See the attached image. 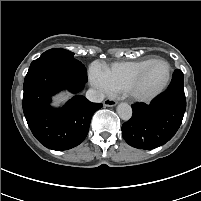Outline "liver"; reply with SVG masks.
<instances>
[{"instance_id":"1","label":"liver","mask_w":201,"mask_h":201,"mask_svg":"<svg viewBox=\"0 0 201 201\" xmlns=\"http://www.w3.org/2000/svg\"><path fill=\"white\" fill-rule=\"evenodd\" d=\"M56 102L59 103V102H64L67 100V96H64V95H59L58 97L55 98Z\"/></svg>"}]
</instances>
